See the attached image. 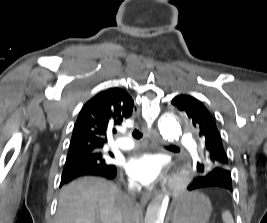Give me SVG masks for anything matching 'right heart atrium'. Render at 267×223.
<instances>
[{
    "label": "right heart atrium",
    "mask_w": 267,
    "mask_h": 223,
    "mask_svg": "<svg viewBox=\"0 0 267 223\" xmlns=\"http://www.w3.org/2000/svg\"><path fill=\"white\" fill-rule=\"evenodd\" d=\"M129 185L131 186V187H134V184H133V182H129Z\"/></svg>",
    "instance_id": "right-heart-atrium-1"
}]
</instances>
